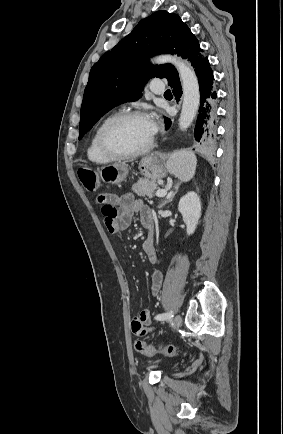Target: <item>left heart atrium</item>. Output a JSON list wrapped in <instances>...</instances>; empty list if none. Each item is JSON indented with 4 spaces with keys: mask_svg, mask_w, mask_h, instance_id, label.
Here are the masks:
<instances>
[{
    "mask_svg": "<svg viewBox=\"0 0 283 434\" xmlns=\"http://www.w3.org/2000/svg\"><path fill=\"white\" fill-rule=\"evenodd\" d=\"M147 123H148L149 130L153 136L156 133L158 128L157 119L154 116H149L147 117Z\"/></svg>",
    "mask_w": 283,
    "mask_h": 434,
    "instance_id": "left-heart-atrium-1",
    "label": "left heart atrium"
}]
</instances>
